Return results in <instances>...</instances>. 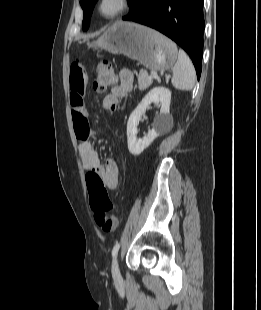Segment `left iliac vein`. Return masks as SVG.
I'll return each instance as SVG.
<instances>
[{"label": "left iliac vein", "mask_w": 261, "mask_h": 310, "mask_svg": "<svg viewBox=\"0 0 261 310\" xmlns=\"http://www.w3.org/2000/svg\"><path fill=\"white\" fill-rule=\"evenodd\" d=\"M112 276L115 281H119L121 279V273L119 269L118 259L115 257L112 263Z\"/></svg>", "instance_id": "4c4485c4"}]
</instances>
